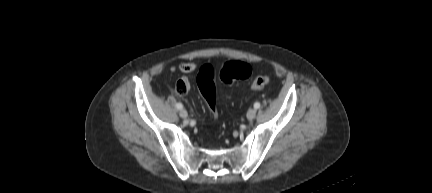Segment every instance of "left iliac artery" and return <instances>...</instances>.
<instances>
[{"mask_svg":"<svg viewBox=\"0 0 432 193\" xmlns=\"http://www.w3.org/2000/svg\"><path fill=\"white\" fill-rule=\"evenodd\" d=\"M254 108H255V109L260 108V103H259V102H256V103L254 104Z\"/></svg>","mask_w":432,"mask_h":193,"instance_id":"44dca946","label":"left iliac artery"}]
</instances>
